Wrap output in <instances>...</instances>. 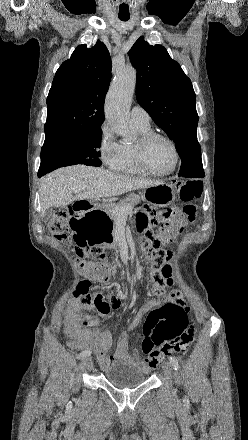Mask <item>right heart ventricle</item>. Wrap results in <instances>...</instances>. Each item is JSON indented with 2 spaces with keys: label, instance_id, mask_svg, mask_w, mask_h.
Listing matches in <instances>:
<instances>
[{
  "label": "right heart ventricle",
  "instance_id": "right-heart-ventricle-1",
  "mask_svg": "<svg viewBox=\"0 0 248 440\" xmlns=\"http://www.w3.org/2000/svg\"><path fill=\"white\" fill-rule=\"evenodd\" d=\"M135 128L140 134L150 132V128L135 125ZM115 171L128 175H139L141 172L136 166L134 159V144L123 143L121 144V160L115 169Z\"/></svg>",
  "mask_w": 248,
  "mask_h": 440
}]
</instances>
